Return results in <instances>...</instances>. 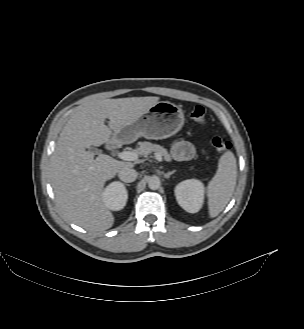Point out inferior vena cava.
Listing matches in <instances>:
<instances>
[{
    "instance_id": "1",
    "label": "inferior vena cava",
    "mask_w": 304,
    "mask_h": 329,
    "mask_svg": "<svg viewBox=\"0 0 304 329\" xmlns=\"http://www.w3.org/2000/svg\"><path fill=\"white\" fill-rule=\"evenodd\" d=\"M120 180L126 183H130L136 180L138 173L132 168H123L118 172Z\"/></svg>"
}]
</instances>
